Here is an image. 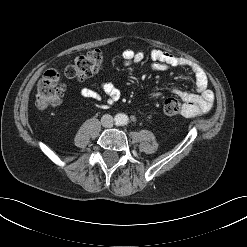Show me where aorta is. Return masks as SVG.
<instances>
[{
	"label": "aorta",
	"mask_w": 247,
	"mask_h": 247,
	"mask_svg": "<svg viewBox=\"0 0 247 247\" xmlns=\"http://www.w3.org/2000/svg\"><path fill=\"white\" fill-rule=\"evenodd\" d=\"M128 116L124 113H119L115 116V122L117 125H126L128 123Z\"/></svg>",
	"instance_id": "aorta-1"
}]
</instances>
